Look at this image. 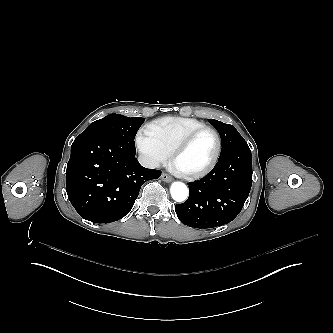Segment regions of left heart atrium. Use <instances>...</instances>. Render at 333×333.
Here are the masks:
<instances>
[{
	"label": "left heart atrium",
	"mask_w": 333,
	"mask_h": 333,
	"mask_svg": "<svg viewBox=\"0 0 333 333\" xmlns=\"http://www.w3.org/2000/svg\"><path fill=\"white\" fill-rule=\"evenodd\" d=\"M172 170L174 171V172H179L176 168H174V167H172Z\"/></svg>",
	"instance_id": "1"
}]
</instances>
